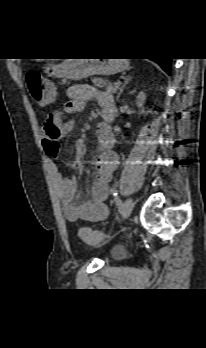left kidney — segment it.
<instances>
[{"label": "left kidney", "mask_w": 206, "mask_h": 348, "mask_svg": "<svg viewBox=\"0 0 206 348\" xmlns=\"http://www.w3.org/2000/svg\"><path fill=\"white\" fill-rule=\"evenodd\" d=\"M146 95L144 92H140L136 98V104L138 107H143L145 104Z\"/></svg>", "instance_id": "obj_1"}]
</instances>
